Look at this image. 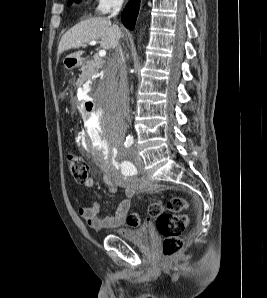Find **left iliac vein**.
Segmentation results:
<instances>
[{"instance_id":"left-iliac-vein-1","label":"left iliac vein","mask_w":267,"mask_h":298,"mask_svg":"<svg viewBox=\"0 0 267 298\" xmlns=\"http://www.w3.org/2000/svg\"><path fill=\"white\" fill-rule=\"evenodd\" d=\"M133 155H134V159H135V161H136L137 163H142V159H141V157H140L139 154H138L136 145H135L134 148H133Z\"/></svg>"}]
</instances>
